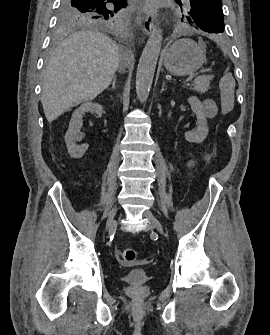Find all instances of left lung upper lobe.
Instances as JSON below:
<instances>
[{"label": "left lung upper lobe", "mask_w": 270, "mask_h": 335, "mask_svg": "<svg viewBox=\"0 0 270 335\" xmlns=\"http://www.w3.org/2000/svg\"><path fill=\"white\" fill-rule=\"evenodd\" d=\"M175 2L184 12L182 17L196 29L209 33L224 32L222 0H186L184 3L175 0Z\"/></svg>", "instance_id": "left-lung-upper-lobe-1"}]
</instances>
